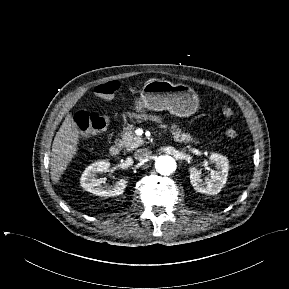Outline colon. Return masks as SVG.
Listing matches in <instances>:
<instances>
[{
  "mask_svg": "<svg viewBox=\"0 0 289 289\" xmlns=\"http://www.w3.org/2000/svg\"><path fill=\"white\" fill-rule=\"evenodd\" d=\"M120 84L118 81H109L100 85H97L94 89L95 94L102 99H111L118 91ZM222 114L226 118H232L234 111L229 106L222 107ZM74 122L78 127L82 135H86L90 132L102 131L107 127L108 118L104 115L92 113L88 114L85 111L77 112L74 116ZM226 135L235 139L238 137V132L229 128L226 131Z\"/></svg>",
  "mask_w": 289,
  "mask_h": 289,
  "instance_id": "colon-1",
  "label": "colon"
}]
</instances>
